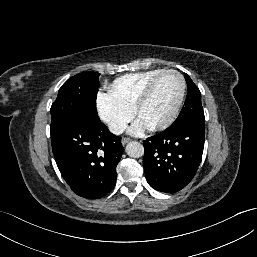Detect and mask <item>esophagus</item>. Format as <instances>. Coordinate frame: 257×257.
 I'll return each instance as SVG.
<instances>
[{"label": "esophagus", "instance_id": "obj_1", "mask_svg": "<svg viewBox=\"0 0 257 257\" xmlns=\"http://www.w3.org/2000/svg\"><path fill=\"white\" fill-rule=\"evenodd\" d=\"M128 142H130L129 138L123 137L122 140H121V143H122L123 146L126 145Z\"/></svg>", "mask_w": 257, "mask_h": 257}]
</instances>
